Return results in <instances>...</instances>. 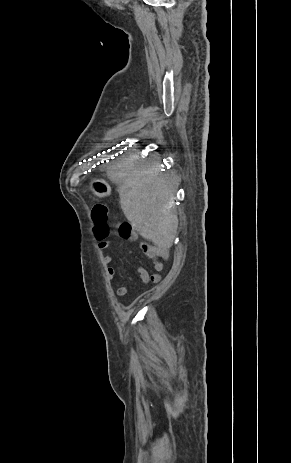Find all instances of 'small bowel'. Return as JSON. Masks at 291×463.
Listing matches in <instances>:
<instances>
[{
	"mask_svg": "<svg viewBox=\"0 0 291 463\" xmlns=\"http://www.w3.org/2000/svg\"><path fill=\"white\" fill-rule=\"evenodd\" d=\"M130 240L133 242L139 241L138 236L136 234H134ZM140 246L143 253L152 261L155 272L149 274L148 270L144 266H139L137 270L139 279L143 284L158 283L161 280L160 272L163 269V262L155 254V251L151 245L141 242ZM99 247L101 249L107 250L109 248L108 242L106 243V246ZM103 261L107 265L106 276L109 279H114L117 275V270L115 267L111 266V264L114 262L113 257H111L110 255H105L103 257ZM116 293L119 297H125L129 294V289L126 286H120L117 289Z\"/></svg>",
	"mask_w": 291,
	"mask_h": 463,
	"instance_id": "1",
	"label": "small bowel"
}]
</instances>
